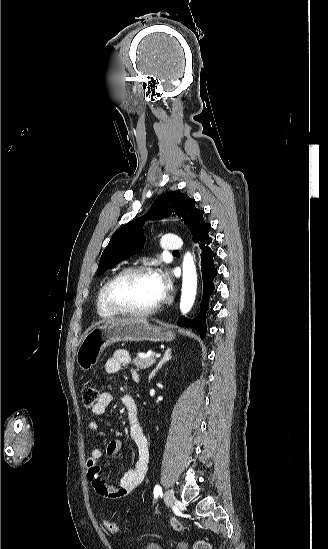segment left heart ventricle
Wrapping results in <instances>:
<instances>
[{
	"instance_id": "1",
	"label": "left heart ventricle",
	"mask_w": 328,
	"mask_h": 549,
	"mask_svg": "<svg viewBox=\"0 0 328 549\" xmlns=\"http://www.w3.org/2000/svg\"><path fill=\"white\" fill-rule=\"evenodd\" d=\"M157 268L161 267H151L154 271ZM155 273H136L118 283L113 291V298L118 304L114 306L120 309H145L159 301L162 297Z\"/></svg>"
}]
</instances>
